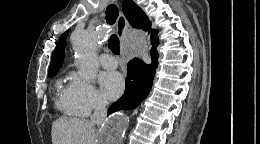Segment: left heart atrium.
<instances>
[{"mask_svg": "<svg viewBox=\"0 0 260 144\" xmlns=\"http://www.w3.org/2000/svg\"><path fill=\"white\" fill-rule=\"evenodd\" d=\"M99 81L104 96L110 100L119 97L124 90V80L118 72L102 73Z\"/></svg>", "mask_w": 260, "mask_h": 144, "instance_id": "obj_1", "label": "left heart atrium"}]
</instances>
